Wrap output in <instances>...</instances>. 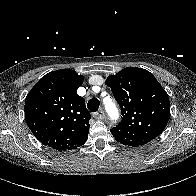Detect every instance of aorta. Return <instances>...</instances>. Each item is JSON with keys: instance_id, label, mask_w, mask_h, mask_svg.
Wrapping results in <instances>:
<instances>
[{"instance_id": "obj_1", "label": "aorta", "mask_w": 196, "mask_h": 196, "mask_svg": "<svg viewBox=\"0 0 196 196\" xmlns=\"http://www.w3.org/2000/svg\"><path fill=\"white\" fill-rule=\"evenodd\" d=\"M106 109L110 115H115L117 113L116 108L112 103H105Z\"/></svg>"}]
</instances>
